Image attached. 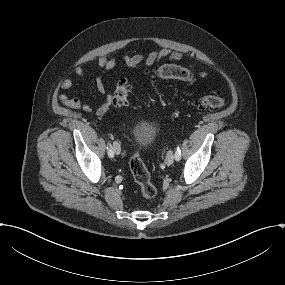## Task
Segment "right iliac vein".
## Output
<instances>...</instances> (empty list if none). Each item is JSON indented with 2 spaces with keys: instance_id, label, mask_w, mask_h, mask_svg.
<instances>
[{
  "instance_id": "1",
  "label": "right iliac vein",
  "mask_w": 285,
  "mask_h": 285,
  "mask_svg": "<svg viewBox=\"0 0 285 285\" xmlns=\"http://www.w3.org/2000/svg\"><path fill=\"white\" fill-rule=\"evenodd\" d=\"M113 152L115 153V154H120V152H121V148H120V145L117 143V142H114L113 143Z\"/></svg>"
}]
</instances>
